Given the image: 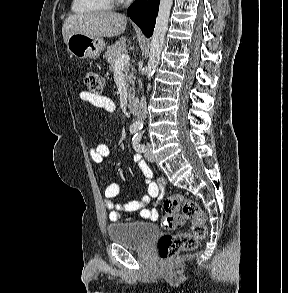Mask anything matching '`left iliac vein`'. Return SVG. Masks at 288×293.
<instances>
[{
  "instance_id": "1",
  "label": "left iliac vein",
  "mask_w": 288,
  "mask_h": 293,
  "mask_svg": "<svg viewBox=\"0 0 288 293\" xmlns=\"http://www.w3.org/2000/svg\"><path fill=\"white\" fill-rule=\"evenodd\" d=\"M145 158L150 161V162H154L155 158H154V155L152 153V150H151V147L150 145L148 144L147 146V149L145 151Z\"/></svg>"
}]
</instances>
